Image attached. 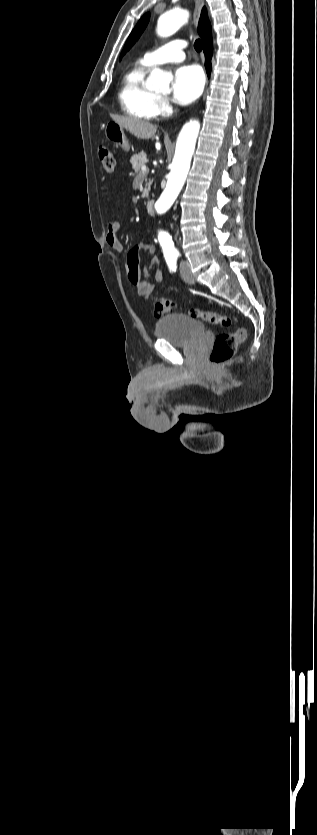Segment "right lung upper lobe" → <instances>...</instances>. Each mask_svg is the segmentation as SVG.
Returning <instances> with one entry per match:
<instances>
[{
  "label": "right lung upper lobe",
  "instance_id": "cb5924a9",
  "mask_svg": "<svg viewBox=\"0 0 317 835\" xmlns=\"http://www.w3.org/2000/svg\"><path fill=\"white\" fill-rule=\"evenodd\" d=\"M207 28H211V26H210V22H209L208 17H207L206 9L203 8L202 12H201V17H200V20H199V25H198V33L201 37L205 33Z\"/></svg>",
  "mask_w": 317,
  "mask_h": 835
}]
</instances>
